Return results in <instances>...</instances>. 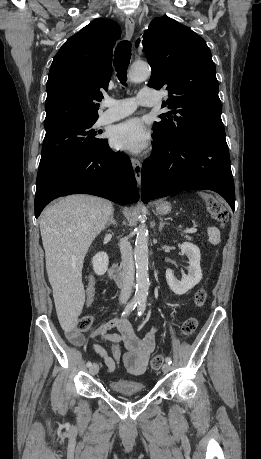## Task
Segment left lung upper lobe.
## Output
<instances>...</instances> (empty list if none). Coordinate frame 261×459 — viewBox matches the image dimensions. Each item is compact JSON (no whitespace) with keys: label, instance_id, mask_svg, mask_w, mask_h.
Returning a JSON list of instances; mask_svg holds the SVG:
<instances>
[{"label":"left lung upper lobe","instance_id":"left-lung-upper-lobe-1","mask_svg":"<svg viewBox=\"0 0 261 459\" xmlns=\"http://www.w3.org/2000/svg\"><path fill=\"white\" fill-rule=\"evenodd\" d=\"M143 47L152 68L148 86L169 92L170 109L154 123V133L180 143L197 135L225 133L216 67L202 37L177 21L155 18Z\"/></svg>","mask_w":261,"mask_h":459}]
</instances>
